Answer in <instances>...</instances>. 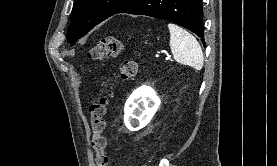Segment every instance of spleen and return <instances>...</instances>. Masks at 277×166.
I'll return each instance as SVG.
<instances>
[{
	"label": "spleen",
	"instance_id": "spleen-1",
	"mask_svg": "<svg viewBox=\"0 0 277 166\" xmlns=\"http://www.w3.org/2000/svg\"><path fill=\"white\" fill-rule=\"evenodd\" d=\"M170 32V48L174 59L183 65L196 70L203 67V52L196 38L185 29L173 23L168 24Z\"/></svg>",
	"mask_w": 277,
	"mask_h": 166
}]
</instances>
